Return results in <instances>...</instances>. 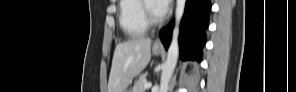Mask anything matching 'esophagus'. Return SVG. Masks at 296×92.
<instances>
[{
    "label": "esophagus",
    "instance_id": "34e87169",
    "mask_svg": "<svg viewBox=\"0 0 296 92\" xmlns=\"http://www.w3.org/2000/svg\"><path fill=\"white\" fill-rule=\"evenodd\" d=\"M154 46H155V47H161V46H162L160 39H157V40L154 42Z\"/></svg>",
    "mask_w": 296,
    "mask_h": 92
}]
</instances>
